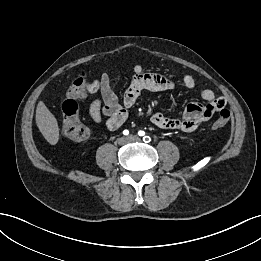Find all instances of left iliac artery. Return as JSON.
Instances as JSON below:
<instances>
[{
	"instance_id": "44dca946",
	"label": "left iliac artery",
	"mask_w": 261,
	"mask_h": 261,
	"mask_svg": "<svg viewBox=\"0 0 261 261\" xmlns=\"http://www.w3.org/2000/svg\"><path fill=\"white\" fill-rule=\"evenodd\" d=\"M138 135H139V136H144V135H145V132L142 131V130H140V131L138 132ZM143 141L146 142V143H149V142L151 141V138H150L149 136H144V137H143Z\"/></svg>"
}]
</instances>
